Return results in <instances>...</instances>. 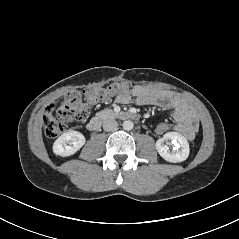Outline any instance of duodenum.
Returning <instances> with one entry per match:
<instances>
[{
	"instance_id": "410a0bca",
	"label": "duodenum",
	"mask_w": 239,
	"mask_h": 239,
	"mask_svg": "<svg viewBox=\"0 0 239 239\" xmlns=\"http://www.w3.org/2000/svg\"><path fill=\"white\" fill-rule=\"evenodd\" d=\"M108 117H114L120 120H137L138 115L133 112L122 111L113 114L97 115L90 119L87 124V128L90 131H97L102 125L103 121Z\"/></svg>"
}]
</instances>
